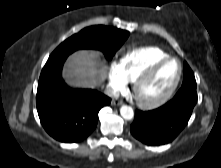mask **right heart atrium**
I'll return each mask as SVG.
<instances>
[{"label": "right heart atrium", "mask_w": 221, "mask_h": 168, "mask_svg": "<svg viewBox=\"0 0 221 168\" xmlns=\"http://www.w3.org/2000/svg\"><path fill=\"white\" fill-rule=\"evenodd\" d=\"M126 79L123 77L117 64L109 67L107 74V88L111 95L115 96L125 89Z\"/></svg>", "instance_id": "1"}]
</instances>
